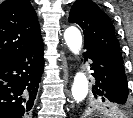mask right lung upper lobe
Listing matches in <instances>:
<instances>
[{
	"instance_id": "right-lung-upper-lobe-1",
	"label": "right lung upper lobe",
	"mask_w": 133,
	"mask_h": 118,
	"mask_svg": "<svg viewBox=\"0 0 133 118\" xmlns=\"http://www.w3.org/2000/svg\"><path fill=\"white\" fill-rule=\"evenodd\" d=\"M41 42L37 15L30 1H4L0 5V63Z\"/></svg>"
}]
</instances>
